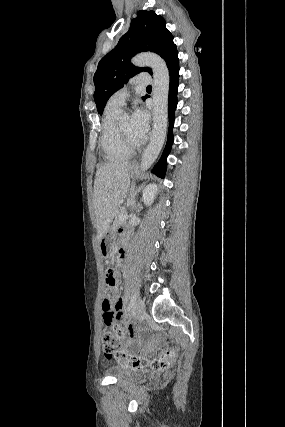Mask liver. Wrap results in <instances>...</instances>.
I'll return each mask as SVG.
<instances>
[{"mask_svg":"<svg viewBox=\"0 0 285 427\" xmlns=\"http://www.w3.org/2000/svg\"><path fill=\"white\" fill-rule=\"evenodd\" d=\"M129 162L107 163L97 170L93 206L98 237L106 233L130 185Z\"/></svg>","mask_w":285,"mask_h":427,"instance_id":"1","label":"liver"}]
</instances>
